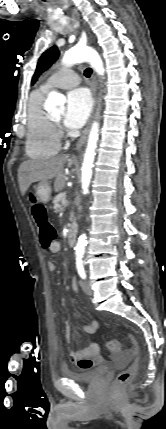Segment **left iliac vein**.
Masks as SVG:
<instances>
[{
    "label": "left iliac vein",
    "mask_w": 166,
    "mask_h": 429,
    "mask_svg": "<svg viewBox=\"0 0 166 429\" xmlns=\"http://www.w3.org/2000/svg\"><path fill=\"white\" fill-rule=\"evenodd\" d=\"M81 288L87 295H92L93 290L88 281L84 280L81 282Z\"/></svg>",
    "instance_id": "1"
}]
</instances>
